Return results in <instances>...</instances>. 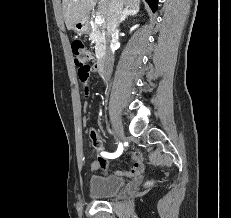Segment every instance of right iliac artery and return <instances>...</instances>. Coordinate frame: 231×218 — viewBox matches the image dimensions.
I'll return each mask as SVG.
<instances>
[{"mask_svg": "<svg viewBox=\"0 0 231 218\" xmlns=\"http://www.w3.org/2000/svg\"><path fill=\"white\" fill-rule=\"evenodd\" d=\"M122 151H123V146L120 143L115 153L102 152V155L105 156L106 158L113 159V158H117L118 156H120Z\"/></svg>", "mask_w": 231, "mask_h": 218, "instance_id": "obj_1", "label": "right iliac artery"}]
</instances>
